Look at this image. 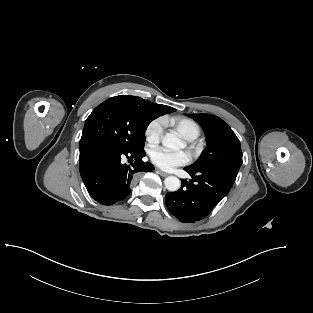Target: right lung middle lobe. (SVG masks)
Returning a JSON list of instances; mask_svg holds the SVG:
<instances>
[{"label": "right lung middle lobe", "instance_id": "1", "mask_svg": "<svg viewBox=\"0 0 313 313\" xmlns=\"http://www.w3.org/2000/svg\"><path fill=\"white\" fill-rule=\"evenodd\" d=\"M157 117L159 115L146 100L127 95L109 98L86 119L80 146L102 141L127 150L141 149L145 141L144 132Z\"/></svg>", "mask_w": 313, "mask_h": 313}]
</instances>
